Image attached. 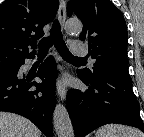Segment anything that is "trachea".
<instances>
[{"label":"trachea","mask_w":144,"mask_h":137,"mask_svg":"<svg viewBox=\"0 0 144 137\" xmlns=\"http://www.w3.org/2000/svg\"><path fill=\"white\" fill-rule=\"evenodd\" d=\"M54 44L58 53L66 60L86 61L85 58H80L72 55L68 50L61 33V28L58 20L53 22L50 30V35L43 38L39 44V54H47L48 49Z\"/></svg>","instance_id":"1"}]
</instances>
